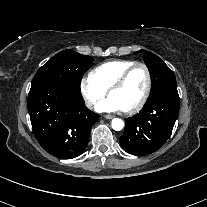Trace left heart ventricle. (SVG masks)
Returning a JSON list of instances; mask_svg holds the SVG:
<instances>
[{
	"label": "left heart ventricle",
	"mask_w": 207,
	"mask_h": 207,
	"mask_svg": "<svg viewBox=\"0 0 207 207\" xmlns=\"http://www.w3.org/2000/svg\"><path fill=\"white\" fill-rule=\"evenodd\" d=\"M147 77L141 67L134 69L122 87L114 90L110 96L126 110L137 104L146 89Z\"/></svg>",
	"instance_id": "obj_1"
}]
</instances>
